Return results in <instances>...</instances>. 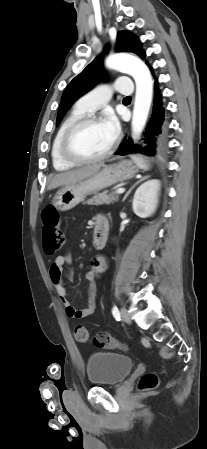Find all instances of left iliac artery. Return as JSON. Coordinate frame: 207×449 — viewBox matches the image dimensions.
I'll use <instances>...</instances> for the list:
<instances>
[{
    "instance_id": "obj_1",
    "label": "left iliac artery",
    "mask_w": 207,
    "mask_h": 449,
    "mask_svg": "<svg viewBox=\"0 0 207 449\" xmlns=\"http://www.w3.org/2000/svg\"><path fill=\"white\" fill-rule=\"evenodd\" d=\"M112 314H113L114 318H115L117 321L120 320V313H119V310H118V308H117L116 306H114V307L112 308Z\"/></svg>"
}]
</instances>
